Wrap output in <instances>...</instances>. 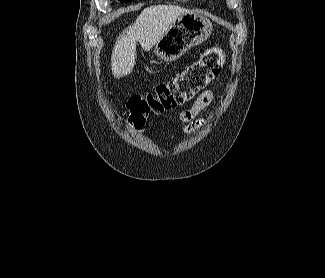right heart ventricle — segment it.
Returning a JSON list of instances; mask_svg holds the SVG:
<instances>
[{
    "mask_svg": "<svg viewBox=\"0 0 325 278\" xmlns=\"http://www.w3.org/2000/svg\"><path fill=\"white\" fill-rule=\"evenodd\" d=\"M180 1H182V2H189L190 0H180Z\"/></svg>",
    "mask_w": 325,
    "mask_h": 278,
    "instance_id": "1",
    "label": "right heart ventricle"
}]
</instances>
